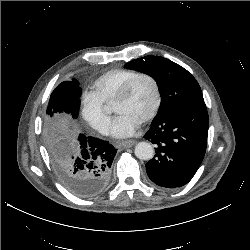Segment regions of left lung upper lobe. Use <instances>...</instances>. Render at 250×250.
I'll use <instances>...</instances> for the list:
<instances>
[{
	"label": "left lung upper lobe",
	"instance_id": "5c2ea615",
	"mask_svg": "<svg viewBox=\"0 0 250 250\" xmlns=\"http://www.w3.org/2000/svg\"><path fill=\"white\" fill-rule=\"evenodd\" d=\"M125 67L152 76L161 93V104L153 121L161 120L184 107L204 103L201 88L182 66L160 56H145L125 64Z\"/></svg>",
	"mask_w": 250,
	"mask_h": 250
}]
</instances>
